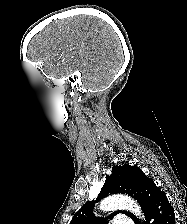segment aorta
I'll return each mask as SVG.
<instances>
[{
    "label": "aorta",
    "mask_w": 187,
    "mask_h": 224,
    "mask_svg": "<svg viewBox=\"0 0 187 224\" xmlns=\"http://www.w3.org/2000/svg\"><path fill=\"white\" fill-rule=\"evenodd\" d=\"M117 209L129 210L138 218H142V211L136 201L128 196L118 195L105 198L100 203L101 211H114Z\"/></svg>",
    "instance_id": "obj_1"
}]
</instances>
